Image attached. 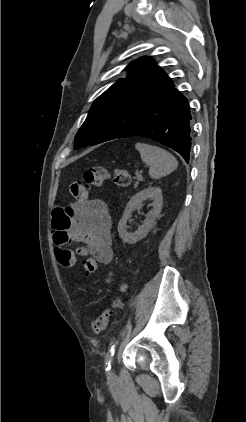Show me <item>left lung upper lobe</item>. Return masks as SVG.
I'll use <instances>...</instances> for the list:
<instances>
[{
  "label": "left lung upper lobe",
  "instance_id": "5c2ea615",
  "mask_svg": "<svg viewBox=\"0 0 246 422\" xmlns=\"http://www.w3.org/2000/svg\"><path fill=\"white\" fill-rule=\"evenodd\" d=\"M119 79L92 104L76 134L75 149L118 138L139 120L173 83L149 57L131 62Z\"/></svg>",
  "mask_w": 246,
  "mask_h": 422
}]
</instances>
